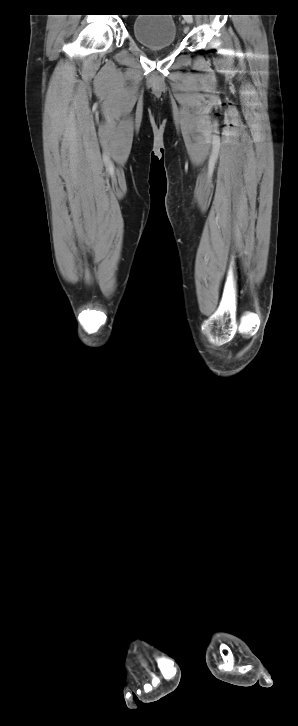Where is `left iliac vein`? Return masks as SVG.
I'll return each mask as SVG.
<instances>
[{
  "label": "left iliac vein",
  "mask_w": 298,
  "mask_h": 726,
  "mask_svg": "<svg viewBox=\"0 0 298 726\" xmlns=\"http://www.w3.org/2000/svg\"><path fill=\"white\" fill-rule=\"evenodd\" d=\"M185 19H186L187 23H189V24L192 23V21H193L191 16H186ZM185 32H187V29H185Z\"/></svg>",
  "instance_id": "4c4485c4"
}]
</instances>
